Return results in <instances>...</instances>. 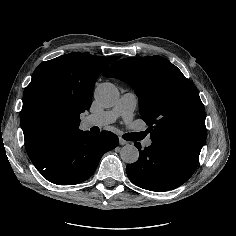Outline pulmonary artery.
<instances>
[{"instance_id": "1", "label": "pulmonary artery", "mask_w": 236, "mask_h": 236, "mask_svg": "<svg viewBox=\"0 0 236 236\" xmlns=\"http://www.w3.org/2000/svg\"><path fill=\"white\" fill-rule=\"evenodd\" d=\"M137 106V96L134 92H128L123 94L117 101V103L103 115L107 118L108 122H113L119 117H122L123 125L126 128H131L134 125L133 112ZM151 139L144 141V146H151Z\"/></svg>"}]
</instances>
